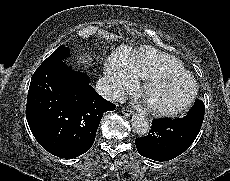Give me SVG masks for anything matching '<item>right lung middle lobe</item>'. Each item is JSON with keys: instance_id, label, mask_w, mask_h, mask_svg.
Segmentation results:
<instances>
[{"instance_id": "1", "label": "right lung middle lobe", "mask_w": 230, "mask_h": 181, "mask_svg": "<svg viewBox=\"0 0 230 181\" xmlns=\"http://www.w3.org/2000/svg\"><path fill=\"white\" fill-rule=\"evenodd\" d=\"M69 55V49L64 45L59 46L42 64H51L65 59Z\"/></svg>"}]
</instances>
